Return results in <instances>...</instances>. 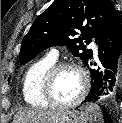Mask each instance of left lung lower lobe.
<instances>
[{
	"label": "left lung lower lobe",
	"instance_id": "obj_1",
	"mask_svg": "<svg viewBox=\"0 0 122 123\" xmlns=\"http://www.w3.org/2000/svg\"><path fill=\"white\" fill-rule=\"evenodd\" d=\"M97 45L100 66L90 69L92 86L85 102L112 99L122 84V25L118 15L105 28ZM91 65L90 60L87 66Z\"/></svg>",
	"mask_w": 122,
	"mask_h": 123
}]
</instances>
